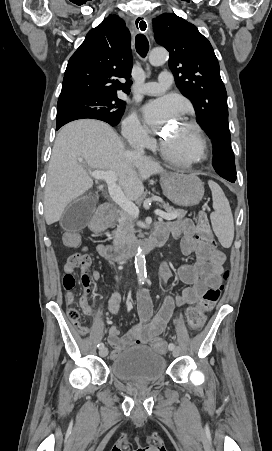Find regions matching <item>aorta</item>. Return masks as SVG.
<instances>
[{
    "instance_id": "obj_1",
    "label": "aorta",
    "mask_w": 272,
    "mask_h": 451,
    "mask_svg": "<svg viewBox=\"0 0 272 451\" xmlns=\"http://www.w3.org/2000/svg\"><path fill=\"white\" fill-rule=\"evenodd\" d=\"M169 58V52L164 48H154L149 54V62L151 66H163ZM135 269L138 277V281H145L147 277L146 271V259L143 247H138L135 255Z\"/></svg>"
}]
</instances>
